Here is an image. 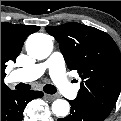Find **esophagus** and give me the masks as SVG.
I'll return each instance as SVG.
<instances>
[{
	"label": "esophagus",
	"mask_w": 121,
	"mask_h": 121,
	"mask_svg": "<svg viewBox=\"0 0 121 121\" xmlns=\"http://www.w3.org/2000/svg\"><path fill=\"white\" fill-rule=\"evenodd\" d=\"M45 98H47L48 100H54L56 98L55 95H50V94H44Z\"/></svg>",
	"instance_id": "esophagus-1"
}]
</instances>
